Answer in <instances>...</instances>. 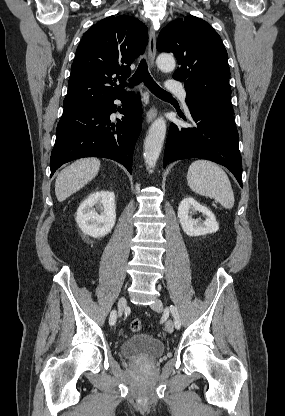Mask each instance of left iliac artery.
<instances>
[{
  "mask_svg": "<svg viewBox=\"0 0 285 416\" xmlns=\"http://www.w3.org/2000/svg\"><path fill=\"white\" fill-rule=\"evenodd\" d=\"M169 310H170L171 314L174 317V325H175V327L177 329H179L180 326H181V321H180V318H179V314H178L177 308L175 306H173V305H170Z\"/></svg>",
  "mask_w": 285,
  "mask_h": 416,
  "instance_id": "44dca946",
  "label": "left iliac artery"
}]
</instances>
